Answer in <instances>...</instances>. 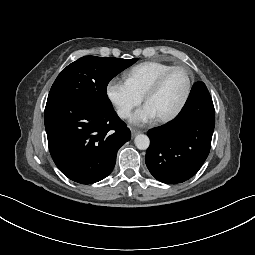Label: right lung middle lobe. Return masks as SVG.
I'll return each instance as SVG.
<instances>
[{
	"instance_id": "dd1d6c3e",
	"label": "right lung middle lobe",
	"mask_w": 255,
	"mask_h": 255,
	"mask_svg": "<svg viewBox=\"0 0 255 255\" xmlns=\"http://www.w3.org/2000/svg\"><path fill=\"white\" fill-rule=\"evenodd\" d=\"M138 58L84 56L68 65L53 83L49 97L69 96L86 100L102 110H113L107 96L110 80Z\"/></svg>"
}]
</instances>
